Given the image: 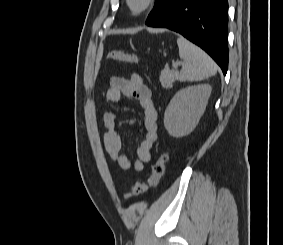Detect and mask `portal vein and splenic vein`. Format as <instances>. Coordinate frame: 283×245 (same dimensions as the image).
I'll return each instance as SVG.
<instances>
[{
    "label": "portal vein and splenic vein",
    "instance_id": "18ae733b",
    "mask_svg": "<svg viewBox=\"0 0 283 245\" xmlns=\"http://www.w3.org/2000/svg\"><path fill=\"white\" fill-rule=\"evenodd\" d=\"M181 64H182L181 62H179V63L173 62V63H172V67H173L174 69H177V67H178L179 65H181Z\"/></svg>",
    "mask_w": 283,
    "mask_h": 245
}]
</instances>
